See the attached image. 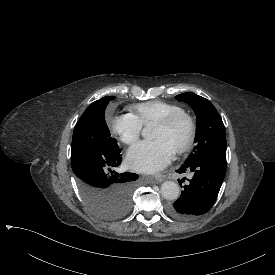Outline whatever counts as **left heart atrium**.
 Instances as JSON below:
<instances>
[{
	"label": "left heart atrium",
	"instance_id": "1",
	"mask_svg": "<svg viewBox=\"0 0 275 275\" xmlns=\"http://www.w3.org/2000/svg\"><path fill=\"white\" fill-rule=\"evenodd\" d=\"M174 149L164 140H153L140 144L128 154L129 166L137 171L156 172L168 166Z\"/></svg>",
	"mask_w": 275,
	"mask_h": 275
}]
</instances>
